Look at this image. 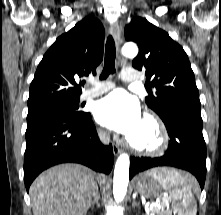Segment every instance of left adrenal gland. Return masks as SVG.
<instances>
[{
    "label": "left adrenal gland",
    "instance_id": "obj_1",
    "mask_svg": "<svg viewBox=\"0 0 221 215\" xmlns=\"http://www.w3.org/2000/svg\"><path fill=\"white\" fill-rule=\"evenodd\" d=\"M139 207V204L137 203V201L135 199H133V203H132V207Z\"/></svg>",
    "mask_w": 221,
    "mask_h": 215
}]
</instances>
